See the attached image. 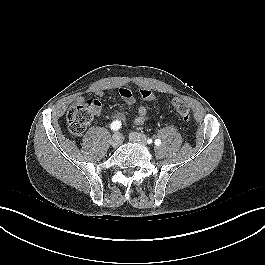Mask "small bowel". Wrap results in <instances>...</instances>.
<instances>
[{"label":"small bowel","mask_w":265,"mask_h":265,"mask_svg":"<svg viewBox=\"0 0 265 265\" xmlns=\"http://www.w3.org/2000/svg\"><path fill=\"white\" fill-rule=\"evenodd\" d=\"M98 94L101 95L102 93L99 92ZM119 94L127 106L133 105L136 101L135 96L133 95L132 91L128 88L119 89ZM98 102L100 104V101H98ZM100 106H101V104H100ZM146 114H147L146 107L143 105L138 106L137 114L134 118V124L142 125L146 120ZM125 117H126V115H125V112H123V111H117L113 114L114 121H120L121 122L125 119Z\"/></svg>","instance_id":"1"}]
</instances>
